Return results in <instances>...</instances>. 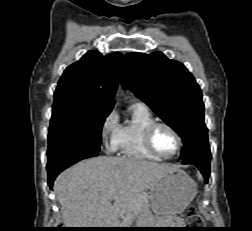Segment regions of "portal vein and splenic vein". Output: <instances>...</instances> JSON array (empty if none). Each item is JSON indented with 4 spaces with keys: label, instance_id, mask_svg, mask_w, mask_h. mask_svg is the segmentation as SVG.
<instances>
[{
    "label": "portal vein and splenic vein",
    "instance_id": "obj_1",
    "mask_svg": "<svg viewBox=\"0 0 252 231\" xmlns=\"http://www.w3.org/2000/svg\"><path fill=\"white\" fill-rule=\"evenodd\" d=\"M110 199H112V200H113V199H115V197H111Z\"/></svg>",
    "mask_w": 252,
    "mask_h": 231
}]
</instances>
